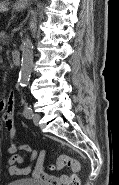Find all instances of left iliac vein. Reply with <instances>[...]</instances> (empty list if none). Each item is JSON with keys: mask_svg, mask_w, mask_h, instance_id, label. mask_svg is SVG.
Masks as SVG:
<instances>
[{"mask_svg": "<svg viewBox=\"0 0 119 185\" xmlns=\"http://www.w3.org/2000/svg\"><path fill=\"white\" fill-rule=\"evenodd\" d=\"M39 121H40V115L37 114V113H35V114L33 115V122H34V124H35L36 126H38V125H39Z\"/></svg>", "mask_w": 119, "mask_h": 185, "instance_id": "4c4485c4", "label": "left iliac vein"}]
</instances>
